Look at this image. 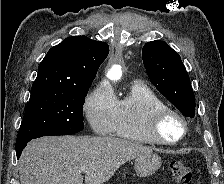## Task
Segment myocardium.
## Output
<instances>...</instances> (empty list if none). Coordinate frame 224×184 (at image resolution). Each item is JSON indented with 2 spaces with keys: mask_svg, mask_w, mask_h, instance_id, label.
<instances>
[{
  "mask_svg": "<svg viewBox=\"0 0 224 184\" xmlns=\"http://www.w3.org/2000/svg\"><path fill=\"white\" fill-rule=\"evenodd\" d=\"M169 118L177 120L182 127V133L178 138L168 139L164 137L161 131V125ZM146 132L153 143L161 145H176L186 137L188 127L186 120L179 112L172 108L164 106L153 109L150 112L146 123Z\"/></svg>",
  "mask_w": 224,
  "mask_h": 184,
  "instance_id": "f54148a6",
  "label": "myocardium"
}]
</instances>
